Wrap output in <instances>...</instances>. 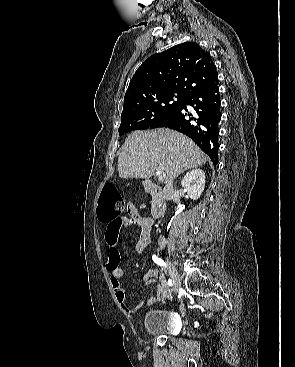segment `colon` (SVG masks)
I'll return each mask as SVG.
<instances>
[{
	"instance_id": "obj_1",
	"label": "colon",
	"mask_w": 295,
	"mask_h": 367,
	"mask_svg": "<svg viewBox=\"0 0 295 367\" xmlns=\"http://www.w3.org/2000/svg\"><path fill=\"white\" fill-rule=\"evenodd\" d=\"M125 207L124 201L112 183L104 185L100 195L99 214L103 222L113 221L119 218Z\"/></svg>"
}]
</instances>
